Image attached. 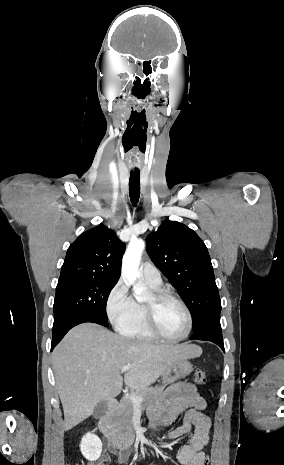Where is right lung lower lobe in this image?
I'll return each mask as SVG.
<instances>
[{
	"label": "right lung lower lobe",
	"mask_w": 284,
	"mask_h": 465,
	"mask_svg": "<svg viewBox=\"0 0 284 465\" xmlns=\"http://www.w3.org/2000/svg\"><path fill=\"white\" fill-rule=\"evenodd\" d=\"M85 322H92V323H97L102 326H108V322L104 319H101L97 316L93 315H85V314H80V315H74L67 317L64 319L62 322L54 324L53 329H52V343H51V351L54 349V347L62 340V338L65 336V334L74 326L85 323Z\"/></svg>",
	"instance_id": "1"
}]
</instances>
